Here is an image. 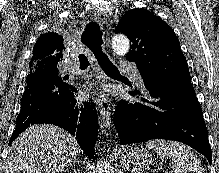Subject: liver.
<instances>
[{
  "label": "liver",
  "instance_id": "obj_1",
  "mask_svg": "<svg viewBox=\"0 0 219 173\" xmlns=\"http://www.w3.org/2000/svg\"><path fill=\"white\" fill-rule=\"evenodd\" d=\"M74 136L51 124L30 126L9 148L4 173H60L75 162Z\"/></svg>",
  "mask_w": 219,
  "mask_h": 173
}]
</instances>
